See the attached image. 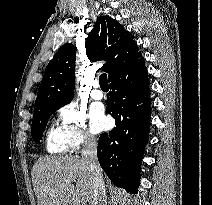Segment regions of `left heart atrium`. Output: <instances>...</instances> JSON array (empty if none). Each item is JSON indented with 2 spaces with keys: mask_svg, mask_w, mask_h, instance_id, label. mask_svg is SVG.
<instances>
[{
  "mask_svg": "<svg viewBox=\"0 0 212 205\" xmlns=\"http://www.w3.org/2000/svg\"><path fill=\"white\" fill-rule=\"evenodd\" d=\"M91 126L95 132L102 131L108 127L109 121L108 118L104 114V110L102 107L97 106L92 109L91 114Z\"/></svg>",
  "mask_w": 212,
  "mask_h": 205,
  "instance_id": "obj_1",
  "label": "left heart atrium"
}]
</instances>
